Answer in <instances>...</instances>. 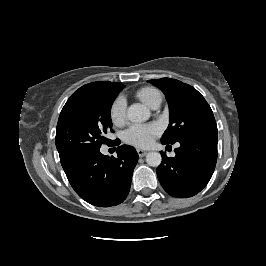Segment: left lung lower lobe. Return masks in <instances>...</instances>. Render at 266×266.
I'll list each match as a JSON object with an SVG mask.
<instances>
[{
  "instance_id": "1",
  "label": "left lung lower lobe",
  "mask_w": 266,
  "mask_h": 266,
  "mask_svg": "<svg viewBox=\"0 0 266 266\" xmlns=\"http://www.w3.org/2000/svg\"><path fill=\"white\" fill-rule=\"evenodd\" d=\"M217 140L218 133L199 134L180 140L173 158L162 152L163 160L156 172L168 194L187 198L207 185L217 161Z\"/></svg>"
}]
</instances>
